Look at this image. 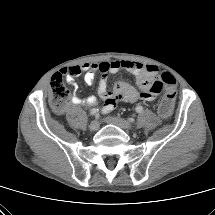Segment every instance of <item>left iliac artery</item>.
I'll return each instance as SVG.
<instances>
[{"label": "left iliac artery", "mask_w": 215, "mask_h": 215, "mask_svg": "<svg viewBox=\"0 0 215 215\" xmlns=\"http://www.w3.org/2000/svg\"><path fill=\"white\" fill-rule=\"evenodd\" d=\"M135 110L137 113H141L143 111V107L139 105L135 108Z\"/></svg>", "instance_id": "44dca946"}]
</instances>
